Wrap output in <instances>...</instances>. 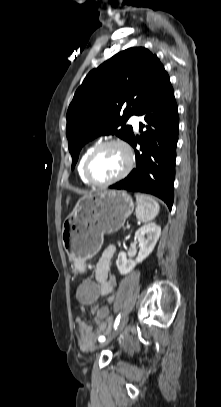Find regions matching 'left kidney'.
Instances as JSON below:
<instances>
[{"label":"left kidney","mask_w":221,"mask_h":407,"mask_svg":"<svg viewBox=\"0 0 221 407\" xmlns=\"http://www.w3.org/2000/svg\"><path fill=\"white\" fill-rule=\"evenodd\" d=\"M161 235V228L156 223L151 222L139 228L135 237L139 242V253L135 260L127 259L125 252H120L116 260L117 268L121 275L130 273L137 263L146 259L153 251L159 237Z\"/></svg>","instance_id":"1"}]
</instances>
